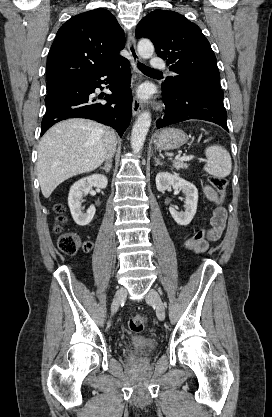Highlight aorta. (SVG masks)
I'll return each mask as SVG.
<instances>
[{
	"instance_id": "762f6f07",
	"label": "aorta",
	"mask_w": 272,
	"mask_h": 417,
	"mask_svg": "<svg viewBox=\"0 0 272 417\" xmlns=\"http://www.w3.org/2000/svg\"><path fill=\"white\" fill-rule=\"evenodd\" d=\"M137 49L142 58H150L154 53V46L152 42L147 39L140 40ZM150 125L151 114L145 111L138 117L132 128L131 146L135 154H139L141 152Z\"/></svg>"
}]
</instances>
